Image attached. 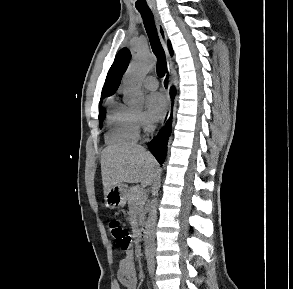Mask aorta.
Segmentation results:
<instances>
[{
	"instance_id": "1",
	"label": "aorta",
	"mask_w": 293,
	"mask_h": 289,
	"mask_svg": "<svg viewBox=\"0 0 293 289\" xmlns=\"http://www.w3.org/2000/svg\"><path fill=\"white\" fill-rule=\"evenodd\" d=\"M154 66V58L143 53H139L136 59L129 65L123 78V86L128 104L138 106L143 103L144 94L141 89V79ZM157 206L158 199L154 198L150 204V211L144 231L145 253L149 257H153L155 252Z\"/></svg>"
}]
</instances>
